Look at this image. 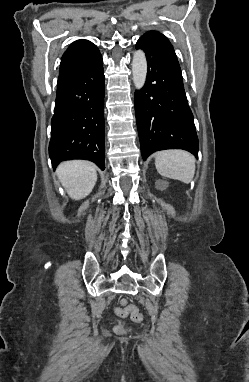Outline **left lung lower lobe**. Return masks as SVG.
<instances>
[{
	"label": "left lung lower lobe",
	"mask_w": 249,
	"mask_h": 382,
	"mask_svg": "<svg viewBox=\"0 0 249 382\" xmlns=\"http://www.w3.org/2000/svg\"><path fill=\"white\" fill-rule=\"evenodd\" d=\"M136 48L145 52L148 64L145 85L135 93L143 159L164 149H184L198 157V137L179 63L145 38H139Z\"/></svg>",
	"instance_id": "obj_1"
}]
</instances>
